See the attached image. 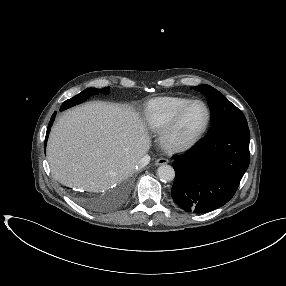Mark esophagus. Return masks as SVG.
Instances as JSON below:
<instances>
[{
	"label": "esophagus",
	"instance_id": "34e87169",
	"mask_svg": "<svg viewBox=\"0 0 286 286\" xmlns=\"http://www.w3.org/2000/svg\"><path fill=\"white\" fill-rule=\"evenodd\" d=\"M167 163H169L167 158H159L156 160L155 165H165Z\"/></svg>",
	"mask_w": 286,
	"mask_h": 286
}]
</instances>
